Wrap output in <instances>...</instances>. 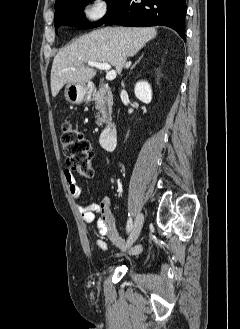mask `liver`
I'll return each mask as SVG.
<instances>
[{
  "label": "liver",
  "mask_w": 240,
  "mask_h": 329,
  "mask_svg": "<svg viewBox=\"0 0 240 329\" xmlns=\"http://www.w3.org/2000/svg\"><path fill=\"white\" fill-rule=\"evenodd\" d=\"M156 35L157 31L153 27H106L79 37L54 57L51 69L52 96L55 97L68 83L89 84L96 75L95 69L85 66L89 61L111 64L120 72L127 57L136 55Z\"/></svg>",
  "instance_id": "6515ba94"
}]
</instances>
